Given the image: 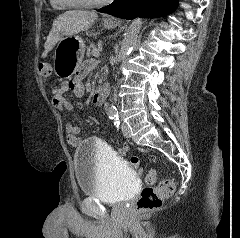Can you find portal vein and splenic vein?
Instances as JSON below:
<instances>
[{
    "instance_id": "portal-vein-and-splenic-vein-1",
    "label": "portal vein and splenic vein",
    "mask_w": 240,
    "mask_h": 238,
    "mask_svg": "<svg viewBox=\"0 0 240 238\" xmlns=\"http://www.w3.org/2000/svg\"><path fill=\"white\" fill-rule=\"evenodd\" d=\"M99 51H100V49H97V50L95 51V53H94V56H95V57H99V55H100Z\"/></svg>"
}]
</instances>
